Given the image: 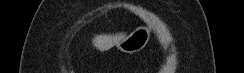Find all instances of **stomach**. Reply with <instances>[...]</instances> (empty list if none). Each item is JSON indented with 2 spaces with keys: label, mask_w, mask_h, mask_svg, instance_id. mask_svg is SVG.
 Instances as JSON below:
<instances>
[{
  "label": "stomach",
  "mask_w": 244,
  "mask_h": 73,
  "mask_svg": "<svg viewBox=\"0 0 244 73\" xmlns=\"http://www.w3.org/2000/svg\"><path fill=\"white\" fill-rule=\"evenodd\" d=\"M151 30L147 26H140L129 36L116 44V48L123 53L132 54L142 50L150 39Z\"/></svg>",
  "instance_id": "stomach-1"
}]
</instances>
